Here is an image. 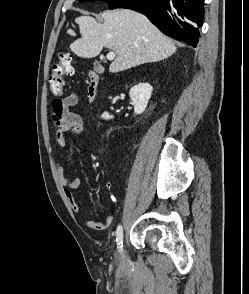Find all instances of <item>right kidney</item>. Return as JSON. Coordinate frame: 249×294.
Segmentation results:
<instances>
[{"instance_id": "right-kidney-1", "label": "right kidney", "mask_w": 249, "mask_h": 294, "mask_svg": "<svg viewBox=\"0 0 249 294\" xmlns=\"http://www.w3.org/2000/svg\"><path fill=\"white\" fill-rule=\"evenodd\" d=\"M153 88L149 83H139L131 88L129 95L134 105V112L141 114L145 111ZM105 120L112 119L113 116L108 112H104L101 116Z\"/></svg>"}]
</instances>
